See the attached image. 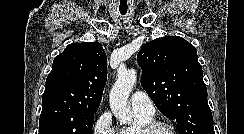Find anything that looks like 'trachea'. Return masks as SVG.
<instances>
[{"mask_svg":"<svg viewBox=\"0 0 244 134\" xmlns=\"http://www.w3.org/2000/svg\"><path fill=\"white\" fill-rule=\"evenodd\" d=\"M122 15H125L126 13L125 12H121Z\"/></svg>","mask_w":244,"mask_h":134,"instance_id":"trachea-1","label":"trachea"}]
</instances>
